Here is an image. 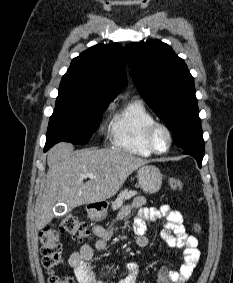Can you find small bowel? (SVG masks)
Here are the masks:
<instances>
[{"instance_id":"obj_1","label":"small bowel","mask_w":233,"mask_h":283,"mask_svg":"<svg viewBox=\"0 0 233 283\" xmlns=\"http://www.w3.org/2000/svg\"><path fill=\"white\" fill-rule=\"evenodd\" d=\"M145 199L136 197L129 206L124 207L119 218L128 216L132 211L138 210L134 220L133 233L136 235V245L145 247L148 244L146 230L150 223L160 221L164 231L162 238L170 247L183 249L182 265L178 271L162 267L158 273V283H186L200 257L198 240L189 235L183 222V216L178 210H173L169 205L163 204L160 207H144ZM94 233L98 240L94 246L84 244L78 251L73 252L69 257V265L74 271L78 283H107L106 279H100L91 264L94 249L104 251L113 236L112 229H104L100 226L94 227ZM139 266L131 263L127 266V274L116 283H137Z\"/></svg>"}]
</instances>
